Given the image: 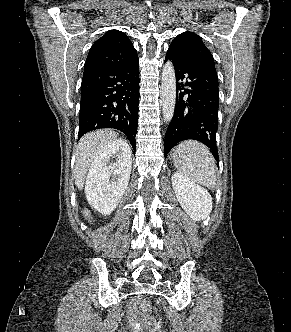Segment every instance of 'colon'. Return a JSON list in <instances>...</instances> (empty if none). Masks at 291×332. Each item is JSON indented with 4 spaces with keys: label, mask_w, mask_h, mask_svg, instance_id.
Masks as SVG:
<instances>
[{
    "label": "colon",
    "mask_w": 291,
    "mask_h": 332,
    "mask_svg": "<svg viewBox=\"0 0 291 332\" xmlns=\"http://www.w3.org/2000/svg\"><path fill=\"white\" fill-rule=\"evenodd\" d=\"M140 306L144 312H149L152 309V304L149 301H143Z\"/></svg>",
    "instance_id": "colon-1"
}]
</instances>
